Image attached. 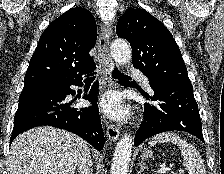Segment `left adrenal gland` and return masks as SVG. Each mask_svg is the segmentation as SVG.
Returning a JSON list of instances; mask_svg holds the SVG:
<instances>
[{
  "label": "left adrenal gland",
  "mask_w": 224,
  "mask_h": 174,
  "mask_svg": "<svg viewBox=\"0 0 224 174\" xmlns=\"http://www.w3.org/2000/svg\"><path fill=\"white\" fill-rule=\"evenodd\" d=\"M139 166H140V169H139V171H138V174H140L141 171H143V170H145V169L147 168V167L145 166V164H144L143 161H141V162L139 163Z\"/></svg>",
  "instance_id": "obj_1"
}]
</instances>
